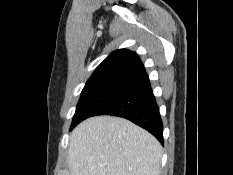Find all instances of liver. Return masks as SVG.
Returning a JSON list of instances; mask_svg holds the SVG:
<instances>
[{
	"mask_svg": "<svg viewBox=\"0 0 233 175\" xmlns=\"http://www.w3.org/2000/svg\"><path fill=\"white\" fill-rule=\"evenodd\" d=\"M162 147L127 119L91 117L70 134V175H160Z\"/></svg>",
	"mask_w": 233,
	"mask_h": 175,
	"instance_id": "obj_1",
	"label": "liver"
}]
</instances>
